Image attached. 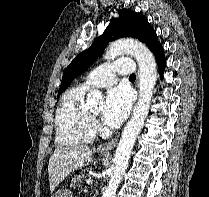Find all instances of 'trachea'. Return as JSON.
Returning <instances> with one entry per match:
<instances>
[{"label":"trachea","mask_w":209,"mask_h":197,"mask_svg":"<svg viewBox=\"0 0 209 197\" xmlns=\"http://www.w3.org/2000/svg\"><path fill=\"white\" fill-rule=\"evenodd\" d=\"M130 78H136L135 74H131Z\"/></svg>","instance_id":"trachea-1"}]
</instances>
